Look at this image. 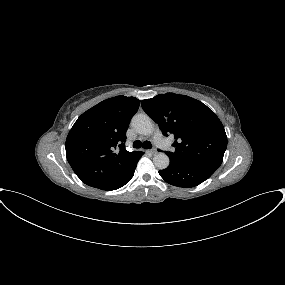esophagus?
<instances>
[{
    "label": "esophagus",
    "mask_w": 285,
    "mask_h": 285,
    "mask_svg": "<svg viewBox=\"0 0 285 285\" xmlns=\"http://www.w3.org/2000/svg\"><path fill=\"white\" fill-rule=\"evenodd\" d=\"M150 154L155 155L157 154V151L155 149H151L148 151Z\"/></svg>",
    "instance_id": "esophagus-1"
}]
</instances>
